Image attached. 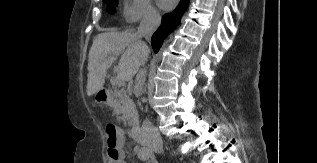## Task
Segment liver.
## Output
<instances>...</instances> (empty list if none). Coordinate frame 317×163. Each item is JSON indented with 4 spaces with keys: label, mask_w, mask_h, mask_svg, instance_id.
Returning <instances> with one entry per match:
<instances>
[{
    "label": "liver",
    "mask_w": 317,
    "mask_h": 163,
    "mask_svg": "<svg viewBox=\"0 0 317 163\" xmlns=\"http://www.w3.org/2000/svg\"><path fill=\"white\" fill-rule=\"evenodd\" d=\"M149 52L137 33L125 31L98 34L89 52L87 95L92 96L103 88L107 70L120 54L118 74L121 81L125 82L138 73Z\"/></svg>",
    "instance_id": "liver-1"
}]
</instances>
